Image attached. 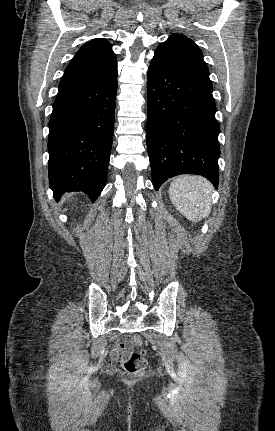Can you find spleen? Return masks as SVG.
<instances>
[{
	"label": "spleen",
	"mask_w": 275,
	"mask_h": 431,
	"mask_svg": "<svg viewBox=\"0 0 275 431\" xmlns=\"http://www.w3.org/2000/svg\"><path fill=\"white\" fill-rule=\"evenodd\" d=\"M212 191V184L204 177L181 175L171 182L169 197L182 215L196 223L210 214Z\"/></svg>",
	"instance_id": "obj_1"
}]
</instances>
